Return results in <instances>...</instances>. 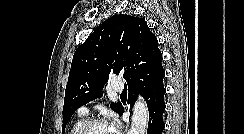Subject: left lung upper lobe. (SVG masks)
I'll use <instances>...</instances> for the list:
<instances>
[{
    "instance_id": "obj_1",
    "label": "left lung upper lobe",
    "mask_w": 244,
    "mask_h": 134,
    "mask_svg": "<svg viewBox=\"0 0 244 134\" xmlns=\"http://www.w3.org/2000/svg\"><path fill=\"white\" fill-rule=\"evenodd\" d=\"M112 73L123 74L128 89L136 90L164 78L158 41L144 19L116 14L77 48L65 90L62 131L79 107L102 97ZM110 107L118 113L123 108L120 102Z\"/></svg>"
}]
</instances>
